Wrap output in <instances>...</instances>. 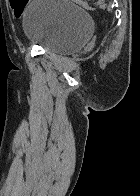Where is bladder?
I'll return each instance as SVG.
<instances>
[{"label":"bladder","mask_w":140,"mask_h":196,"mask_svg":"<svg viewBox=\"0 0 140 196\" xmlns=\"http://www.w3.org/2000/svg\"><path fill=\"white\" fill-rule=\"evenodd\" d=\"M23 30L29 43L52 53L71 54L90 39L92 20L71 0H35L24 12Z\"/></svg>","instance_id":"1"}]
</instances>
